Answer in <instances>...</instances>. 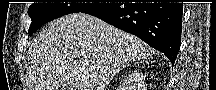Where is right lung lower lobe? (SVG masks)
<instances>
[{
	"label": "right lung lower lobe",
	"mask_w": 216,
	"mask_h": 90,
	"mask_svg": "<svg viewBox=\"0 0 216 90\" xmlns=\"http://www.w3.org/2000/svg\"><path fill=\"white\" fill-rule=\"evenodd\" d=\"M84 13L136 35L174 64L181 44L183 3H107Z\"/></svg>",
	"instance_id": "1"
}]
</instances>
